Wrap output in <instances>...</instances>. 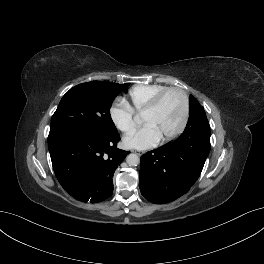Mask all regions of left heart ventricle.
I'll use <instances>...</instances> for the list:
<instances>
[{
	"mask_svg": "<svg viewBox=\"0 0 264 264\" xmlns=\"http://www.w3.org/2000/svg\"><path fill=\"white\" fill-rule=\"evenodd\" d=\"M183 103L177 92L167 94L158 108L151 113L142 115L144 124H151L164 137L173 132L181 122Z\"/></svg>",
	"mask_w": 264,
	"mask_h": 264,
	"instance_id": "b2bd125f",
	"label": "left heart ventricle"
}]
</instances>
